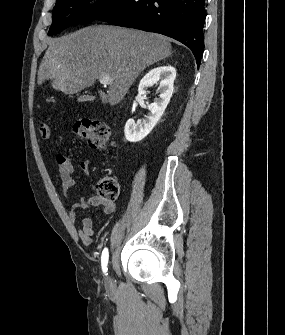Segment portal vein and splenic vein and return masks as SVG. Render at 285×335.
Returning <instances> with one entry per match:
<instances>
[{"instance_id": "obj_1", "label": "portal vein and splenic vein", "mask_w": 285, "mask_h": 335, "mask_svg": "<svg viewBox=\"0 0 285 335\" xmlns=\"http://www.w3.org/2000/svg\"><path fill=\"white\" fill-rule=\"evenodd\" d=\"M112 78L110 76H100L99 82L100 84H104V86H107V84H110Z\"/></svg>"}]
</instances>
